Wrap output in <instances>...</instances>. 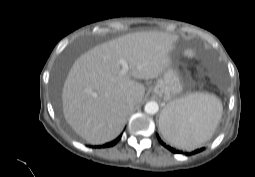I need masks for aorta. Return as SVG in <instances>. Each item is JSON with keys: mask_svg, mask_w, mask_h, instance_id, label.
I'll list each match as a JSON object with an SVG mask.
<instances>
[{"mask_svg": "<svg viewBox=\"0 0 255 177\" xmlns=\"http://www.w3.org/2000/svg\"><path fill=\"white\" fill-rule=\"evenodd\" d=\"M144 110L148 114H155L158 112L159 106L155 101H150L146 103Z\"/></svg>", "mask_w": 255, "mask_h": 177, "instance_id": "aorta-1", "label": "aorta"}]
</instances>
